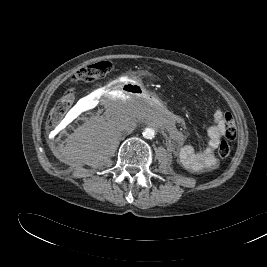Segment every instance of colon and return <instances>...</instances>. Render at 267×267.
<instances>
[{"label":"colon","mask_w":267,"mask_h":267,"mask_svg":"<svg viewBox=\"0 0 267 267\" xmlns=\"http://www.w3.org/2000/svg\"><path fill=\"white\" fill-rule=\"evenodd\" d=\"M111 66V63L107 61L84 66L75 72L73 75V81L79 82L97 80L106 74L111 69ZM74 97L75 95L73 89H68L62 94L49 113L48 124L50 126H55L62 120L72 106ZM225 137L228 140H233L236 137V128L230 115L227 118ZM230 153L231 147L229 143L226 140H223L218 147V155L221 158H226L230 155Z\"/></svg>","instance_id":"colon-1"}]
</instances>
